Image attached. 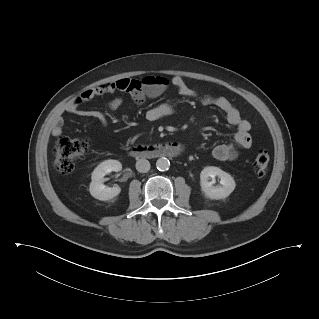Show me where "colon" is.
Returning <instances> with one entry per match:
<instances>
[{"mask_svg":"<svg viewBox=\"0 0 319 319\" xmlns=\"http://www.w3.org/2000/svg\"><path fill=\"white\" fill-rule=\"evenodd\" d=\"M168 80L162 76H145L140 80H129L125 85V92L130 95L143 93L155 95L165 90ZM89 149V141L84 138L60 137L54 146V157L57 170L62 174L70 173L76 162L81 159ZM270 162L266 150H259L254 156L253 167L258 177H263Z\"/></svg>","mask_w":319,"mask_h":319,"instance_id":"colon-1","label":"colon"}]
</instances>
